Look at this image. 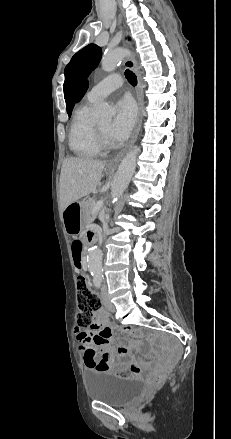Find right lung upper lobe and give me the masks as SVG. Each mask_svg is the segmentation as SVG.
Masks as SVG:
<instances>
[{
  "mask_svg": "<svg viewBox=\"0 0 231 439\" xmlns=\"http://www.w3.org/2000/svg\"><path fill=\"white\" fill-rule=\"evenodd\" d=\"M88 88V82L85 83V85L83 86V88L81 89L78 97H77V102L81 99V97L84 95V93L86 92Z\"/></svg>",
  "mask_w": 231,
  "mask_h": 439,
  "instance_id": "1",
  "label": "right lung upper lobe"
}]
</instances>
